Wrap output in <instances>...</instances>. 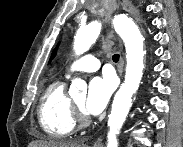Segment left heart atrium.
Listing matches in <instances>:
<instances>
[{
    "label": "left heart atrium",
    "mask_w": 183,
    "mask_h": 147,
    "mask_svg": "<svg viewBox=\"0 0 183 147\" xmlns=\"http://www.w3.org/2000/svg\"><path fill=\"white\" fill-rule=\"evenodd\" d=\"M115 89V82L109 75L95 77L90 81L88 96L84 104L87 113L97 115L108 104Z\"/></svg>",
    "instance_id": "left-heart-atrium-1"
}]
</instances>
